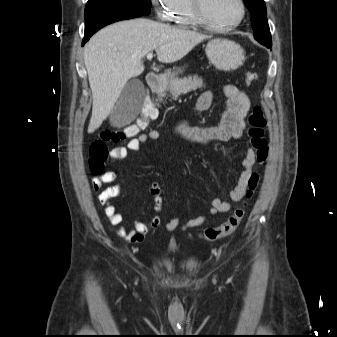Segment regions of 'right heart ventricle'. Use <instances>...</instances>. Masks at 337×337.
Here are the masks:
<instances>
[{
  "mask_svg": "<svg viewBox=\"0 0 337 337\" xmlns=\"http://www.w3.org/2000/svg\"><path fill=\"white\" fill-rule=\"evenodd\" d=\"M172 21L180 26H196L199 23L195 19L190 0H178L176 8L172 12Z\"/></svg>",
  "mask_w": 337,
  "mask_h": 337,
  "instance_id": "1",
  "label": "right heart ventricle"
}]
</instances>
